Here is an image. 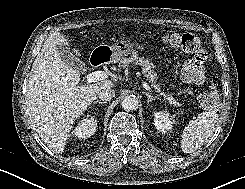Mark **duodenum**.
<instances>
[{
    "instance_id": "410a0bca",
    "label": "duodenum",
    "mask_w": 245,
    "mask_h": 189,
    "mask_svg": "<svg viewBox=\"0 0 245 189\" xmlns=\"http://www.w3.org/2000/svg\"><path fill=\"white\" fill-rule=\"evenodd\" d=\"M111 58V52L110 51H100L95 52L90 57V62L93 66H98L101 63L110 60Z\"/></svg>"
}]
</instances>
